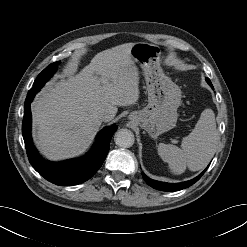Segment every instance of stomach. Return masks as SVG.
<instances>
[{
	"label": "stomach",
	"mask_w": 247,
	"mask_h": 247,
	"mask_svg": "<svg viewBox=\"0 0 247 247\" xmlns=\"http://www.w3.org/2000/svg\"><path fill=\"white\" fill-rule=\"evenodd\" d=\"M131 55L143 70L148 105L142 110L132 112L129 119L140 125L152 138H156L176 125L181 90L164 74L160 66L161 48L158 45L134 43Z\"/></svg>",
	"instance_id": "obj_1"
}]
</instances>
